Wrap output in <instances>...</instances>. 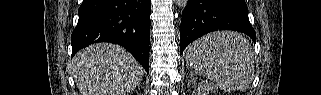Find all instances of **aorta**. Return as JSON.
<instances>
[{"label":"aorta","mask_w":321,"mask_h":95,"mask_svg":"<svg viewBox=\"0 0 321 95\" xmlns=\"http://www.w3.org/2000/svg\"><path fill=\"white\" fill-rule=\"evenodd\" d=\"M175 2L179 8L183 9L186 7L188 1L187 0H176Z\"/></svg>","instance_id":"obj_1"}]
</instances>
